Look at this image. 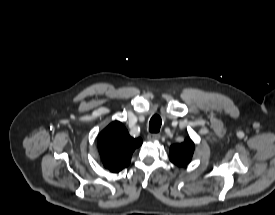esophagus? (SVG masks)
<instances>
[{
  "instance_id": "obj_1",
  "label": "esophagus",
  "mask_w": 275,
  "mask_h": 215,
  "mask_svg": "<svg viewBox=\"0 0 275 215\" xmlns=\"http://www.w3.org/2000/svg\"><path fill=\"white\" fill-rule=\"evenodd\" d=\"M147 139L150 141H157L160 139V134L158 133H151L147 136Z\"/></svg>"
}]
</instances>
